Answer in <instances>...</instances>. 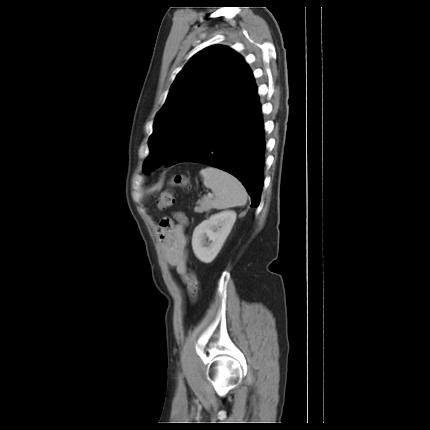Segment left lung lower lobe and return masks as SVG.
Wrapping results in <instances>:
<instances>
[{
    "instance_id": "obj_1",
    "label": "left lung lower lobe",
    "mask_w": 430,
    "mask_h": 430,
    "mask_svg": "<svg viewBox=\"0 0 430 430\" xmlns=\"http://www.w3.org/2000/svg\"><path fill=\"white\" fill-rule=\"evenodd\" d=\"M265 139L257 91L236 113L210 118L194 133L189 146L168 166L191 161L222 169L238 178L258 207L263 187Z\"/></svg>"
}]
</instances>
